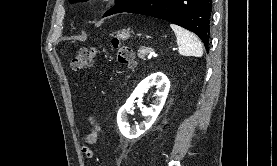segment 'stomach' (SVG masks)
Here are the masks:
<instances>
[{"label": "stomach", "mask_w": 277, "mask_h": 166, "mask_svg": "<svg viewBox=\"0 0 277 166\" xmlns=\"http://www.w3.org/2000/svg\"><path fill=\"white\" fill-rule=\"evenodd\" d=\"M115 34L116 37L122 41L127 40L131 37L130 31L128 29L119 30Z\"/></svg>", "instance_id": "obj_1"}]
</instances>
